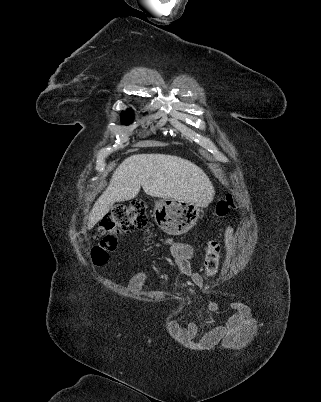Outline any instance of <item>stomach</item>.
Here are the masks:
<instances>
[{
    "instance_id": "1",
    "label": "stomach",
    "mask_w": 321,
    "mask_h": 402,
    "mask_svg": "<svg viewBox=\"0 0 321 402\" xmlns=\"http://www.w3.org/2000/svg\"><path fill=\"white\" fill-rule=\"evenodd\" d=\"M201 212L197 203L162 198L155 201L154 220L169 235H182L196 223Z\"/></svg>"
}]
</instances>
